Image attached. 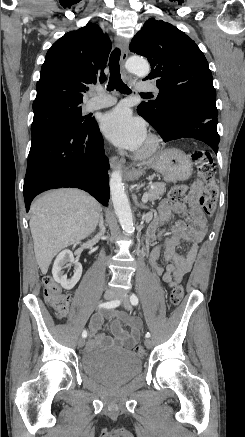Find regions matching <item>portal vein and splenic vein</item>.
I'll list each match as a JSON object with an SVG mask.
<instances>
[{"label":"portal vein and splenic vein","instance_id":"obj_1","mask_svg":"<svg viewBox=\"0 0 245 437\" xmlns=\"http://www.w3.org/2000/svg\"><path fill=\"white\" fill-rule=\"evenodd\" d=\"M147 200H148V194H147V192H146V193H144L143 196H142V201H143L144 203H146Z\"/></svg>","mask_w":245,"mask_h":437}]
</instances>
